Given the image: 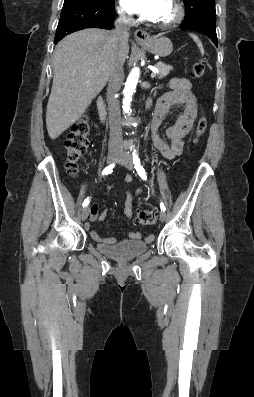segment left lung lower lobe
Here are the masks:
<instances>
[{
  "mask_svg": "<svg viewBox=\"0 0 254 397\" xmlns=\"http://www.w3.org/2000/svg\"><path fill=\"white\" fill-rule=\"evenodd\" d=\"M207 0H191L186 5V14L181 29L193 30L208 36L218 46L216 35L215 4L203 6Z\"/></svg>",
  "mask_w": 254,
  "mask_h": 397,
  "instance_id": "0a47b994",
  "label": "left lung lower lobe"
}]
</instances>
